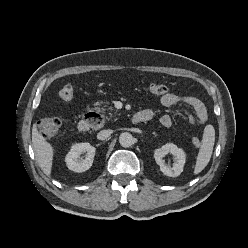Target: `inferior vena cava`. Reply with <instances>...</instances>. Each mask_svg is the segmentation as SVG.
<instances>
[{
	"instance_id": "inferior-vena-cava-1",
	"label": "inferior vena cava",
	"mask_w": 248,
	"mask_h": 248,
	"mask_svg": "<svg viewBox=\"0 0 248 248\" xmlns=\"http://www.w3.org/2000/svg\"><path fill=\"white\" fill-rule=\"evenodd\" d=\"M112 133V130H102L97 134V138L99 140H105L107 139Z\"/></svg>"
}]
</instances>
